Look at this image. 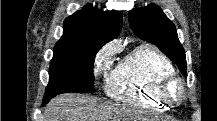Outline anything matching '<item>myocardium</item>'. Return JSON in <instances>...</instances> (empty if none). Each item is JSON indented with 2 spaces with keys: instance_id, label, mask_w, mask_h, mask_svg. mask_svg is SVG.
<instances>
[{
  "instance_id": "myocardium-1",
  "label": "myocardium",
  "mask_w": 217,
  "mask_h": 121,
  "mask_svg": "<svg viewBox=\"0 0 217 121\" xmlns=\"http://www.w3.org/2000/svg\"><path fill=\"white\" fill-rule=\"evenodd\" d=\"M161 92L165 98L173 103H180L185 96L182 80L173 74L164 78L161 84Z\"/></svg>"
}]
</instances>
